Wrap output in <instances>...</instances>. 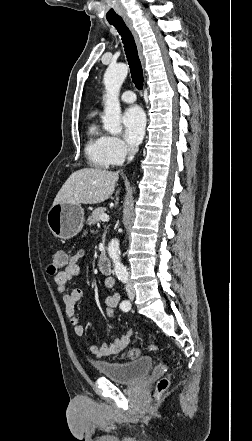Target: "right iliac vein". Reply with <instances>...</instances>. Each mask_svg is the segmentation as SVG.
Instances as JSON below:
<instances>
[{
	"instance_id": "63e3f726",
	"label": "right iliac vein",
	"mask_w": 252,
	"mask_h": 441,
	"mask_svg": "<svg viewBox=\"0 0 252 441\" xmlns=\"http://www.w3.org/2000/svg\"><path fill=\"white\" fill-rule=\"evenodd\" d=\"M128 294H129V297H130L131 299H133V298H134V296H135V295H134V293H133V292H130V291H129V293H128Z\"/></svg>"
}]
</instances>
